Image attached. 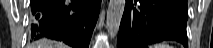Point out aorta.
<instances>
[{
  "label": "aorta",
  "mask_w": 213,
  "mask_h": 48,
  "mask_svg": "<svg viewBox=\"0 0 213 48\" xmlns=\"http://www.w3.org/2000/svg\"><path fill=\"white\" fill-rule=\"evenodd\" d=\"M124 7L125 0L109 1L106 16V29L111 39H114L118 34L120 22L124 12Z\"/></svg>",
  "instance_id": "762f6f07"
}]
</instances>
